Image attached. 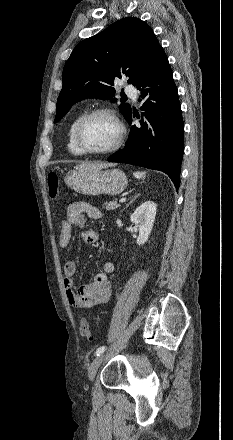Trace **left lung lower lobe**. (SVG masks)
Segmentation results:
<instances>
[{
  "instance_id": "0a47b994",
  "label": "left lung lower lobe",
  "mask_w": 233,
  "mask_h": 440,
  "mask_svg": "<svg viewBox=\"0 0 233 440\" xmlns=\"http://www.w3.org/2000/svg\"><path fill=\"white\" fill-rule=\"evenodd\" d=\"M141 91V126H132L126 146L109 162L142 166L166 173L179 188L184 151V123L178 91L164 51L136 85ZM144 118V119H143ZM132 122V112L126 118Z\"/></svg>"
}]
</instances>
